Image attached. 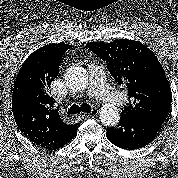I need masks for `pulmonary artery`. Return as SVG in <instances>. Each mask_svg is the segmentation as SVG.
Here are the masks:
<instances>
[{
  "label": "pulmonary artery",
  "instance_id": "pulmonary-artery-1",
  "mask_svg": "<svg viewBox=\"0 0 178 178\" xmlns=\"http://www.w3.org/2000/svg\"><path fill=\"white\" fill-rule=\"evenodd\" d=\"M86 95L113 105L124 102V96L108 84L104 67L97 63L89 65V86Z\"/></svg>",
  "mask_w": 178,
  "mask_h": 178
}]
</instances>
